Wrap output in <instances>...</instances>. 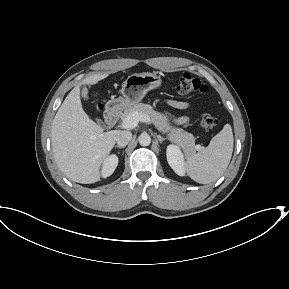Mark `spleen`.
Listing matches in <instances>:
<instances>
[{"label": "spleen", "instance_id": "3e777b00", "mask_svg": "<svg viewBox=\"0 0 289 289\" xmlns=\"http://www.w3.org/2000/svg\"><path fill=\"white\" fill-rule=\"evenodd\" d=\"M233 143L231 125L225 124L206 148L187 158L185 168L188 176L200 184L216 181L230 163Z\"/></svg>", "mask_w": 289, "mask_h": 289}]
</instances>
